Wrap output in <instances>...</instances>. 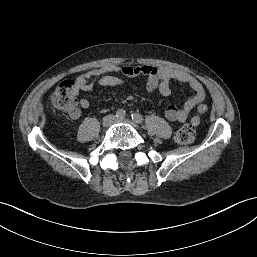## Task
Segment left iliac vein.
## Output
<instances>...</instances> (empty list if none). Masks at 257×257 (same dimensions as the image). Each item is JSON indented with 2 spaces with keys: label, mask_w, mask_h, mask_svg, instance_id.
Returning <instances> with one entry per match:
<instances>
[{
  "label": "left iliac vein",
  "mask_w": 257,
  "mask_h": 257,
  "mask_svg": "<svg viewBox=\"0 0 257 257\" xmlns=\"http://www.w3.org/2000/svg\"><path fill=\"white\" fill-rule=\"evenodd\" d=\"M117 121L122 122V123H128V124L132 125L136 129L139 128V126H138V124L136 122H133V121H131L129 119L122 118V119H117Z\"/></svg>",
  "instance_id": "4c4485c4"
}]
</instances>
